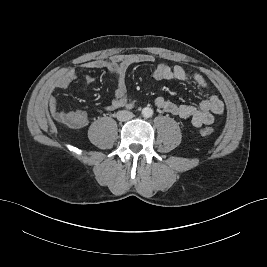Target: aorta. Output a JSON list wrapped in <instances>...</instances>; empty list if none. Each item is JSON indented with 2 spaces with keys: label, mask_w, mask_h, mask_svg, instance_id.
Instances as JSON below:
<instances>
[{
  "label": "aorta",
  "mask_w": 267,
  "mask_h": 267,
  "mask_svg": "<svg viewBox=\"0 0 267 267\" xmlns=\"http://www.w3.org/2000/svg\"><path fill=\"white\" fill-rule=\"evenodd\" d=\"M142 115L145 118H150L153 115V110L150 107H145L142 109Z\"/></svg>",
  "instance_id": "762f6f07"
}]
</instances>
